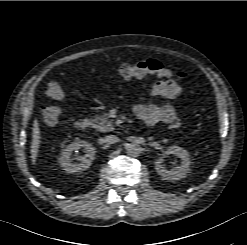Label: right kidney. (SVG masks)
I'll list each match as a JSON object with an SVG mask.
<instances>
[{"label": "right kidney", "instance_id": "obj_1", "mask_svg": "<svg viewBox=\"0 0 247 245\" xmlns=\"http://www.w3.org/2000/svg\"><path fill=\"white\" fill-rule=\"evenodd\" d=\"M78 149H83L85 155L80 157V163H73L71 155ZM95 154L96 149L91 144L77 139L63 150L58 161L66 172L75 173L89 168L95 158Z\"/></svg>", "mask_w": 247, "mask_h": 245}]
</instances>
